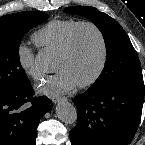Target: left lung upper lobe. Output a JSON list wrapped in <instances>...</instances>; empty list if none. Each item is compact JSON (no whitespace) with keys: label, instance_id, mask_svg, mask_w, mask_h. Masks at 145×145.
Wrapping results in <instances>:
<instances>
[{"label":"left lung upper lobe","instance_id":"obj_1","mask_svg":"<svg viewBox=\"0 0 145 145\" xmlns=\"http://www.w3.org/2000/svg\"><path fill=\"white\" fill-rule=\"evenodd\" d=\"M94 22L104 37L107 58L105 67L89 90H101L134 81H143L138 55L120 24L106 13L90 6H72L64 10Z\"/></svg>","mask_w":145,"mask_h":145}]
</instances>
